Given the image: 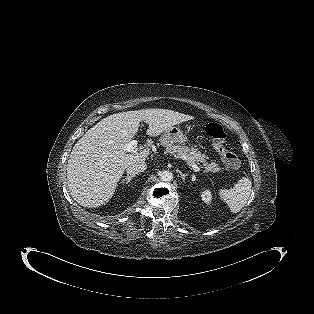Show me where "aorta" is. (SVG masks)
<instances>
[{
    "instance_id": "1",
    "label": "aorta",
    "mask_w": 314,
    "mask_h": 314,
    "mask_svg": "<svg viewBox=\"0 0 314 314\" xmlns=\"http://www.w3.org/2000/svg\"><path fill=\"white\" fill-rule=\"evenodd\" d=\"M159 176H160V179L165 182H170L173 180V173L169 170L161 171Z\"/></svg>"
}]
</instances>
